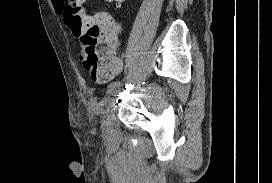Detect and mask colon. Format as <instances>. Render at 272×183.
Returning a JSON list of instances; mask_svg holds the SVG:
<instances>
[{"label":"colon","mask_w":272,"mask_h":183,"mask_svg":"<svg viewBox=\"0 0 272 183\" xmlns=\"http://www.w3.org/2000/svg\"><path fill=\"white\" fill-rule=\"evenodd\" d=\"M82 0H62L65 23L74 36L80 39V56L84 67L98 79L108 78L116 69L119 58L118 26L106 13L84 10ZM121 3L124 0H106Z\"/></svg>","instance_id":"1"}]
</instances>
